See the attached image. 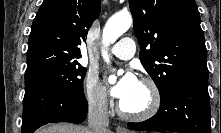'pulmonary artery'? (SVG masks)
<instances>
[{
    "label": "pulmonary artery",
    "mask_w": 221,
    "mask_h": 133,
    "mask_svg": "<svg viewBox=\"0 0 221 133\" xmlns=\"http://www.w3.org/2000/svg\"><path fill=\"white\" fill-rule=\"evenodd\" d=\"M110 52L120 59L128 60L134 55L135 43L131 38L125 37L115 44Z\"/></svg>",
    "instance_id": "pulmonary-artery-1"
}]
</instances>
